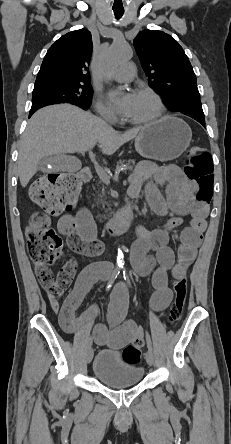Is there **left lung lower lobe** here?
<instances>
[{
  "mask_svg": "<svg viewBox=\"0 0 231 444\" xmlns=\"http://www.w3.org/2000/svg\"><path fill=\"white\" fill-rule=\"evenodd\" d=\"M193 119L197 120L199 123L202 124V126L205 127V119L204 118L194 117Z\"/></svg>",
  "mask_w": 231,
  "mask_h": 444,
  "instance_id": "left-lung-lower-lobe-1",
  "label": "left lung lower lobe"
}]
</instances>
